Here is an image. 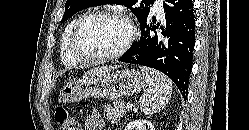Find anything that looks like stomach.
I'll use <instances>...</instances> for the list:
<instances>
[{
	"mask_svg": "<svg viewBox=\"0 0 249 130\" xmlns=\"http://www.w3.org/2000/svg\"><path fill=\"white\" fill-rule=\"evenodd\" d=\"M144 75L135 69L85 74L67 82L60 91L64 103L78 102L90 97L114 99L139 93L145 86Z\"/></svg>",
	"mask_w": 249,
	"mask_h": 130,
	"instance_id": "stomach-1",
	"label": "stomach"
}]
</instances>
